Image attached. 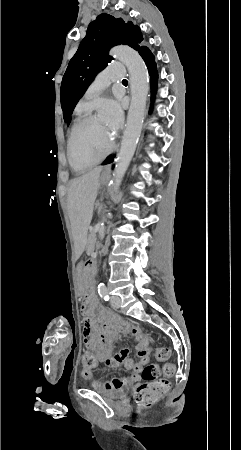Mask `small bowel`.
I'll return each instance as SVG.
<instances>
[{"label": "small bowel", "mask_w": 241, "mask_h": 450, "mask_svg": "<svg viewBox=\"0 0 241 450\" xmlns=\"http://www.w3.org/2000/svg\"><path fill=\"white\" fill-rule=\"evenodd\" d=\"M92 305V298H83L81 310L85 317L83 329L85 347H93V355L98 357L97 363H103L107 367L124 366L132 371V374L127 377H115L103 383L95 382L93 386L95 388L101 387L105 391H113L140 383L142 372L150 360V338L146 333V329L130 321H123L119 330H116L114 324H109L106 329L104 324H98L97 316H90L89 310ZM119 333L131 334L135 337L137 362L130 358L131 351L127 347L114 355L111 354ZM82 375L85 379L93 377L91 370L83 369Z\"/></svg>", "instance_id": "1"}]
</instances>
